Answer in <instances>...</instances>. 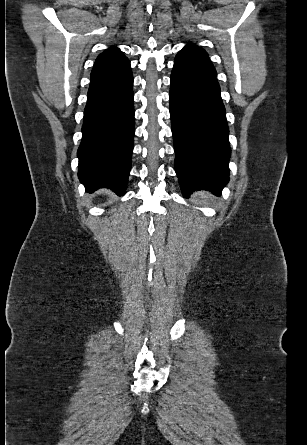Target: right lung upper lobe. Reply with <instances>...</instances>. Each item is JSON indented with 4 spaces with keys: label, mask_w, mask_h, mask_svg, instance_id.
I'll use <instances>...</instances> for the list:
<instances>
[{
    "label": "right lung upper lobe",
    "mask_w": 307,
    "mask_h": 445,
    "mask_svg": "<svg viewBox=\"0 0 307 445\" xmlns=\"http://www.w3.org/2000/svg\"><path fill=\"white\" fill-rule=\"evenodd\" d=\"M128 62V59L118 48L111 47L98 56L93 66L91 77L112 72Z\"/></svg>",
    "instance_id": "1"
}]
</instances>
